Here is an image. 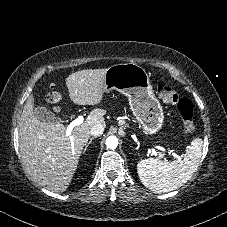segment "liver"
I'll list each match as a JSON object with an SVG mask.
<instances>
[{
	"instance_id": "liver-1",
	"label": "liver",
	"mask_w": 227,
	"mask_h": 227,
	"mask_svg": "<svg viewBox=\"0 0 227 227\" xmlns=\"http://www.w3.org/2000/svg\"><path fill=\"white\" fill-rule=\"evenodd\" d=\"M107 69H86L66 78L70 99L77 105H99L105 92ZM104 110L96 108L86 120L76 126L69 136L58 122L39 120L30 96L19 122V149L26 172L39 185L53 192L65 191L78 167L84 146L90 138L91 127L103 124Z\"/></svg>"
}]
</instances>
